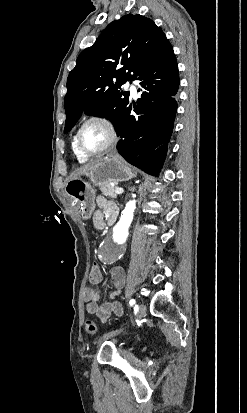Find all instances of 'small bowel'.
<instances>
[{
    "label": "small bowel",
    "mask_w": 247,
    "mask_h": 413,
    "mask_svg": "<svg viewBox=\"0 0 247 413\" xmlns=\"http://www.w3.org/2000/svg\"><path fill=\"white\" fill-rule=\"evenodd\" d=\"M96 202L98 210H96L93 215V224L96 229L101 230L104 228L106 222L112 224L117 220L119 208L115 202L107 199L103 195H99ZM110 276L114 287V291L111 294L112 300L99 305L98 302L101 299L100 291L97 289L84 290V299L87 302V312L90 315L97 316L103 322H107L112 314L121 317L124 313L123 307L116 298L125 284V272L121 266H115L111 270Z\"/></svg>",
    "instance_id": "small-bowel-1"
}]
</instances>
